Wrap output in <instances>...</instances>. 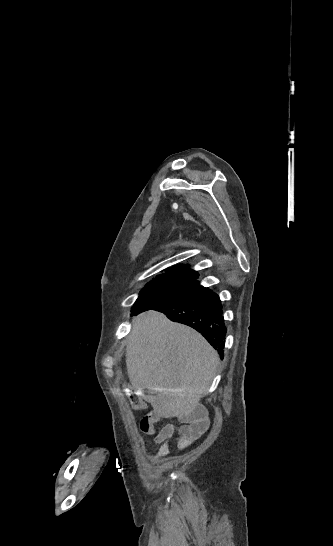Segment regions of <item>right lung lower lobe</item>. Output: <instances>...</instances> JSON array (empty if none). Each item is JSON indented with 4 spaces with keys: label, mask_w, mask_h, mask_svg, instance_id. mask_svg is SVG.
Returning a JSON list of instances; mask_svg holds the SVG:
<instances>
[{
    "label": "right lung lower lobe",
    "mask_w": 333,
    "mask_h": 546,
    "mask_svg": "<svg viewBox=\"0 0 333 546\" xmlns=\"http://www.w3.org/2000/svg\"><path fill=\"white\" fill-rule=\"evenodd\" d=\"M151 309L163 312L172 321L196 329L223 358L226 326L221 301L216 293L200 286L188 295L161 303ZM143 311L146 310H134L132 315Z\"/></svg>",
    "instance_id": "98d812e1"
}]
</instances>
